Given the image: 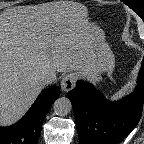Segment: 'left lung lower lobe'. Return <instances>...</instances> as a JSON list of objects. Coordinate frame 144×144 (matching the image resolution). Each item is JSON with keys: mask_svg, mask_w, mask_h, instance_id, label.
I'll return each instance as SVG.
<instances>
[{"mask_svg": "<svg viewBox=\"0 0 144 144\" xmlns=\"http://www.w3.org/2000/svg\"><path fill=\"white\" fill-rule=\"evenodd\" d=\"M144 95V58L135 91L118 102H110L82 80L68 93L72 102L80 144L120 143L138 124Z\"/></svg>", "mask_w": 144, "mask_h": 144, "instance_id": "0a47b994", "label": "left lung lower lobe"}]
</instances>
